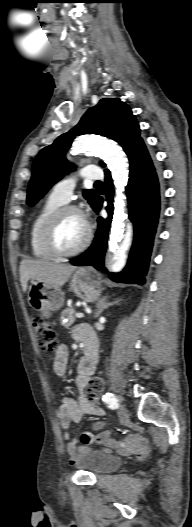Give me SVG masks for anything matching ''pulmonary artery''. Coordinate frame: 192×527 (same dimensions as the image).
<instances>
[{
	"label": "pulmonary artery",
	"mask_w": 192,
	"mask_h": 527,
	"mask_svg": "<svg viewBox=\"0 0 192 527\" xmlns=\"http://www.w3.org/2000/svg\"><path fill=\"white\" fill-rule=\"evenodd\" d=\"M79 176L90 180H101L103 172L99 167L90 165L82 168ZM77 179L76 176H71L59 181L51 189L50 197L63 204L68 202L71 199Z\"/></svg>",
	"instance_id": "pulmonary-artery-1"
}]
</instances>
